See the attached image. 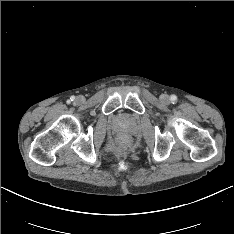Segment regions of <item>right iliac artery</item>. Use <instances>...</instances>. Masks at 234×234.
<instances>
[{
  "instance_id": "82829eb1",
  "label": "right iliac artery",
  "mask_w": 234,
  "mask_h": 234,
  "mask_svg": "<svg viewBox=\"0 0 234 234\" xmlns=\"http://www.w3.org/2000/svg\"><path fill=\"white\" fill-rule=\"evenodd\" d=\"M74 99H75V97H74V96H72V97L70 98V101H74Z\"/></svg>"
}]
</instances>
